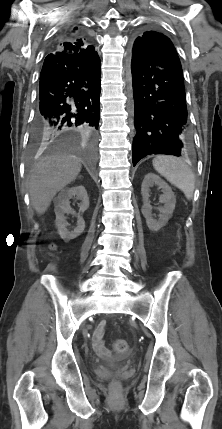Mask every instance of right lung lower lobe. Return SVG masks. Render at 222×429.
Listing matches in <instances>:
<instances>
[{"mask_svg": "<svg viewBox=\"0 0 222 429\" xmlns=\"http://www.w3.org/2000/svg\"><path fill=\"white\" fill-rule=\"evenodd\" d=\"M100 59L95 52L48 54L40 74L39 104L32 132L54 138L70 131L92 135L100 115Z\"/></svg>", "mask_w": 222, "mask_h": 429, "instance_id": "1", "label": "right lung lower lobe"}]
</instances>
